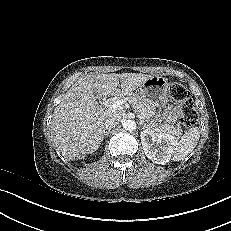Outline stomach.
Masks as SVG:
<instances>
[{
    "label": "stomach",
    "instance_id": "stomach-1",
    "mask_svg": "<svg viewBox=\"0 0 231 231\" xmlns=\"http://www.w3.org/2000/svg\"><path fill=\"white\" fill-rule=\"evenodd\" d=\"M168 79L163 76H151L139 88L138 94L152 106H162L168 101Z\"/></svg>",
    "mask_w": 231,
    "mask_h": 231
}]
</instances>
